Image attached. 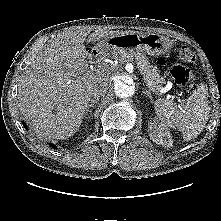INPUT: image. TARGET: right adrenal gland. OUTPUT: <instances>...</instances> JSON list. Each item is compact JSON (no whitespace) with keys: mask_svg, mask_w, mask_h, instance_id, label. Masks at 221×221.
<instances>
[{"mask_svg":"<svg viewBox=\"0 0 221 221\" xmlns=\"http://www.w3.org/2000/svg\"><path fill=\"white\" fill-rule=\"evenodd\" d=\"M99 101V98H96V99H92L90 101V104L88 105L87 109H86V114L89 112V108L92 107L94 108L96 106V104L98 103ZM90 113H92V110H90Z\"/></svg>","mask_w":221,"mask_h":221,"instance_id":"1","label":"right adrenal gland"}]
</instances>
